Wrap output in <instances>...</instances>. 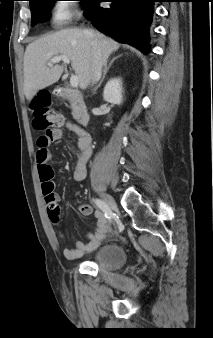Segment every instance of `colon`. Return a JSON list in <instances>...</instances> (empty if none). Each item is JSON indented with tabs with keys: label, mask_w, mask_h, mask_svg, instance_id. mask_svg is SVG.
<instances>
[{
	"label": "colon",
	"mask_w": 213,
	"mask_h": 338,
	"mask_svg": "<svg viewBox=\"0 0 213 338\" xmlns=\"http://www.w3.org/2000/svg\"><path fill=\"white\" fill-rule=\"evenodd\" d=\"M50 103L51 97L49 94L38 95L32 103V108L34 110V125L38 129H43L45 135L48 137L52 135L54 127L59 126L64 122L61 115L52 111ZM40 181L45 200H48L53 194V171L42 170L40 173ZM52 221L56 223L57 218H53Z\"/></svg>",
	"instance_id": "1"
}]
</instances>
